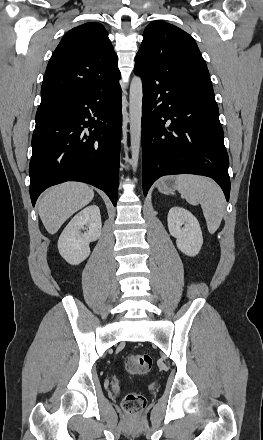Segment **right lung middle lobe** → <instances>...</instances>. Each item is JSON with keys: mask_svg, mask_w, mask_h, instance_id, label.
<instances>
[{"mask_svg": "<svg viewBox=\"0 0 263 440\" xmlns=\"http://www.w3.org/2000/svg\"><path fill=\"white\" fill-rule=\"evenodd\" d=\"M47 110V106L39 107L36 113V117L43 114Z\"/></svg>", "mask_w": 263, "mask_h": 440, "instance_id": "dd1d6c3e", "label": "right lung middle lobe"}]
</instances>
